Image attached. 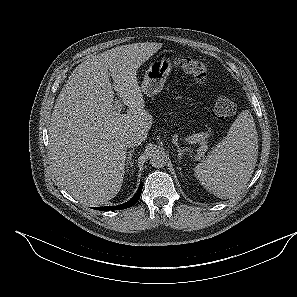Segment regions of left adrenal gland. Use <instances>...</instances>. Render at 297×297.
I'll list each match as a JSON object with an SVG mask.
<instances>
[{"label": "left adrenal gland", "mask_w": 297, "mask_h": 297, "mask_svg": "<svg viewBox=\"0 0 297 297\" xmlns=\"http://www.w3.org/2000/svg\"><path fill=\"white\" fill-rule=\"evenodd\" d=\"M177 146V152H178V160H180L181 158H182V156L184 155V153L186 152V151H188V149L187 148H185V149H181L180 147H179V145H176Z\"/></svg>", "instance_id": "obj_1"}]
</instances>
